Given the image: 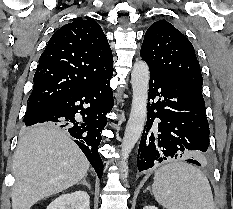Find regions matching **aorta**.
<instances>
[{
	"label": "aorta",
	"mask_w": 233,
	"mask_h": 209,
	"mask_svg": "<svg viewBox=\"0 0 233 209\" xmlns=\"http://www.w3.org/2000/svg\"><path fill=\"white\" fill-rule=\"evenodd\" d=\"M132 106L122 141L120 163L123 180L128 177V157L141 137L146 117L149 86V67L144 61H136L131 72Z\"/></svg>",
	"instance_id": "obj_1"
}]
</instances>
